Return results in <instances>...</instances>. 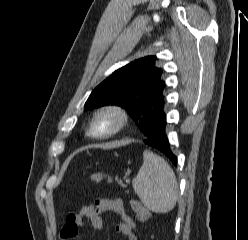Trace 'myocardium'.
Returning a JSON list of instances; mask_svg holds the SVG:
<instances>
[{"mask_svg": "<svg viewBox=\"0 0 248 240\" xmlns=\"http://www.w3.org/2000/svg\"><path fill=\"white\" fill-rule=\"evenodd\" d=\"M104 113H111L113 114L116 118H117V124L116 126L105 133H101V134H97L94 131V125H95V121L97 119V117L101 114ZM129 121V115L128 112L126 111L125 108H123L120 105L117 104H113V103H109V104H104L102 106H100L93 114L91 121H90V134L93 137L96 138H109L112 137L114 135H116L117 133H119L121 130H123L126 125L128 124Z\"/></svg>", "mask_w": 248, "mask_h": 240, "instance_id": "myocardium-1", "label": "myocardium"}]
</instances>
